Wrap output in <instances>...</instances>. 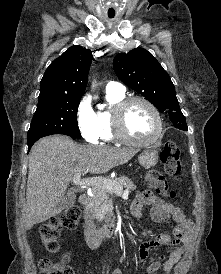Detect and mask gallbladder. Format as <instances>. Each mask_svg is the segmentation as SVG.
I'll return each mask as SVG.
<instances>
[{
  "instance_id": "1",
  "label": "gallbladder",
  "mask_w": 221,
  "mask_h": 274,
  "mask_svg": "<svg viewBox=\"0 0 221 274\" xmlns=\"http://www.w3.org/2000/svg\"><path fill=\"white\" fill-rule=\"evenodd\" d=\"M75 201H76L75 195L71 192H68L67 194L64 195L63 199L61 200L60 206L63 209H66L74 205Z\"/></svg>"
}]
</instances>
